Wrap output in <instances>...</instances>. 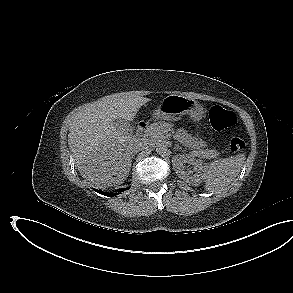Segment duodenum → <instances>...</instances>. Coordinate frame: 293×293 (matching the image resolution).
I'll return each mask as SVG.
<instances>
[{
  "label": "duodenum",
  "instance_id": "410a0bca",
  "mask_svg": "<svg viewBox=\"0 0 293 293\" xmlns=\"http://www.w3.org/2000/svg\"><path fill=\"white\" fill-rule=\"evenodd\" d=\"M146 128H147V124L143 121L137 125V130H136V135H135V139L137 141L143 140Z\"/></svg>",
  "mask_w": 293,
  "mask_h": 293
}]
</instances>
